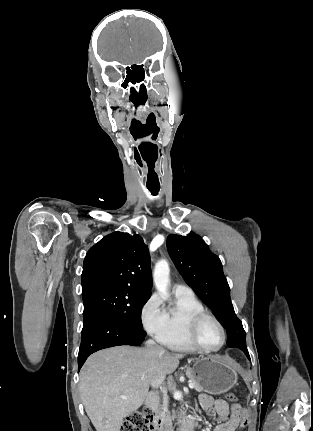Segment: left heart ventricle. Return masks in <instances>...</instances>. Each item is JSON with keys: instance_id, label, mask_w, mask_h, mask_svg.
<instances>
[{"instance_id": "obj_1", "label": "left heart ventricle", "mask_w": 313, "mask_h": 431, "mask_svg": "<svg viewBox=\"0 0 313 431\" xmlns=\"http://www.w3.org/2000/svg\"><path fill=\"white\" fill-rule=\"evenodd\" d=\"M197 338L203 346L209 348L217 347L222 340L220 329L210 319L203 321L198 330Z\"/></svg>"}]
</instances>
